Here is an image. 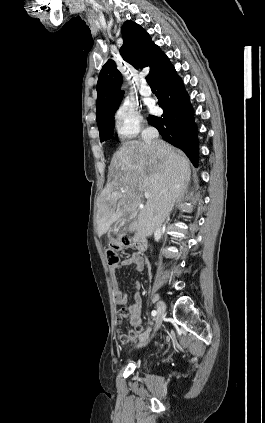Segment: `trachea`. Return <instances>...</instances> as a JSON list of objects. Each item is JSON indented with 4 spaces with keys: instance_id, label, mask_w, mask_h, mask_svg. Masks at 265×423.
Masks as SVG:
<instances>
[{
    "instance_id": "3493384b",
    "label": "trachea",
    "mask_w": 265,
    "mask_h": 423,
    "mask_svg": "<svg viewBox=\"0 0 265 423\" xmlns=\"http://www.w3.org/2000/svg\"><path fill=\"white\" fill-rule=\"evenodd\" d=\"M146 81L149 85H154L153 81L151 80L150 76H146Z\"/></svg>"
}]
</instances>
